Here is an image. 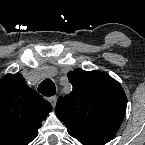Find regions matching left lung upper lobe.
Wrapping results in <instances>:
<instances>
[{
	"instance_id": "5c2ea615",
	"label": "left lung upper lobe",
	"mask_w": 145,
	"mask_h": 145,
	"mask_svg": "<svg viewBox=\"0 0 145 145\" xmlns=\"http://www.w3.org/2000/svg\"><path fill=\"white\" fill-rule=\"evenodd\" d=\"M73 90L59 97L56 114L66 127H120L127 106L121 85L107 73L74 70L68 72Z\"/></svg>"
}]
</instances>
